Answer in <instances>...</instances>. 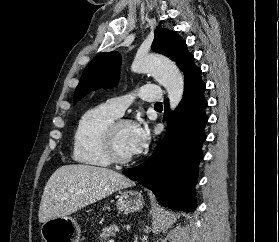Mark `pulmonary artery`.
Wrapping results in <instances>:
<instances>
[{"instance_id":"obj_1","label":"pulmonary artery","mask_w":279,"mask_h":242,"mask_svg":"<svg viewBox=\"0 0 279 242\" xmlns=\"http://www.w3.org/2000/svg\"><path fill=\"white\" fill-rule=\"evenodd\" d=\"M139 96L148 102H158L161 98L160 87L157 85H144L139 91ZM131 102L132 97L130 95H125L111 98L105 103V105L119 117Z\"/></svg>"}]
</instances>
